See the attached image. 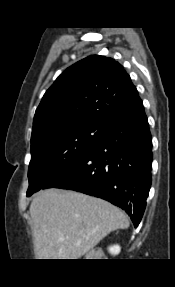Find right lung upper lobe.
<instances>
[{
  "label": "right lung upper lobe",
  "instance_id": "obj_1",
  "mask_svg": "<svg viewBox=\"0 0 175 287\" xmlns=\"http://www.w3.org/2000/svg\"><path fill=\"white\" fill-rule=\"evenodd\" d=\"M143 106L123 66L93 55L67 68L44 94L33 122L31 142L65 126L108 125Z\"/></svg>",
  "mask_w": 175,
  "mask_h": 287
}]
</instances>
